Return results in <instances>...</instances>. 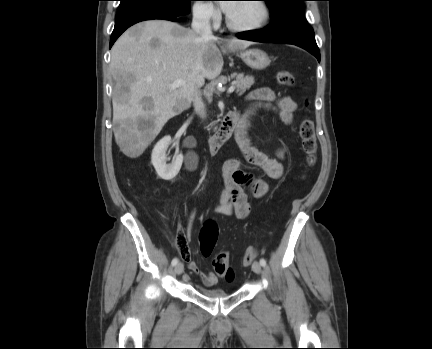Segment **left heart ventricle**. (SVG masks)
<instances>
[{"mask_svg": "<svg viewBox=\"0 0 432 349\" xmlns=\"http://www.w3.org/2000/svg\"><path fill=\"white\" fill-rule=\"evenodd\" d=\"M228 15L237 25H252L261 19L262 10L257 2H242L236 3Z\"/></svg>", "mask_w": 432, "mask_h": 349, "instance_id": "1", "label": "left heart ventricle"}]
</instances>
